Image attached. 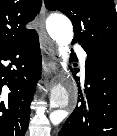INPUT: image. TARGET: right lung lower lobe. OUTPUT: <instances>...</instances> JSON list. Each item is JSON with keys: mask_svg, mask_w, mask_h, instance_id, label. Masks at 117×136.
Returning <instances> with one entry per match:
<instances>
[{"mask_svg": "<svg viewBox=\"0 0 117 136\" xmlns=\"http://www.w3.org/2000/svg\"><path fill=\"white\" fill-rule=\"evenodd\" d=\"M41 63L36 31L0 50V136L25 135Z\"/></svg>", "mask_w": 117, "mask_h": 136, "instance_id": "obj_1", "label": "right lung lower lobe"}]
</instances>
